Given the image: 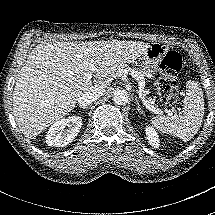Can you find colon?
Instances as JSON below:
<instances>
[{
	"label": "colon",
	"instance_id": "1",
	"mask_svg": "<svg viewBox=\"0 0 215 215\" xmlns=\"http://www.w3.org/2000/svg\"><path fill=\"white\" fill-rule=\"evenodd\" d=\"M181 68L182 56L178 52L169 51L161 61L160 70L163 78L158 82V95L168 106H174L179 102L177 74Z\"/></svg>",
	"mask_w": 215,
	"mask_h": 215
}]
</instances>
